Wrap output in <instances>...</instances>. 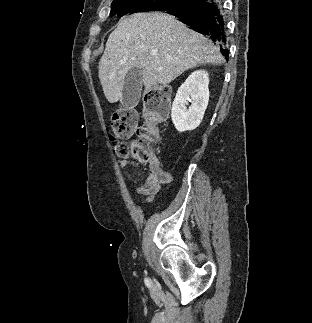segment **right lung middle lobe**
I'll use <instances>...</instances> for the list:
<instances>
[{
  "label": "right lung middle lobe",
  "mask_w": 312,
  "mask_h": 323,
  "mask_svg": "<svg viewBox=\"0 0 312 323\" xmlns=\"http://www.w3.org/2000/svg\"><path fill=\"white\" fill-rule=\"evenodd\" d=\"M189 0H114L110 15L122 17L126 14L145 11H162L180 7Z\"/></svg>",
  "instance_id": "dd1d6c3e"
}]
</instances>
